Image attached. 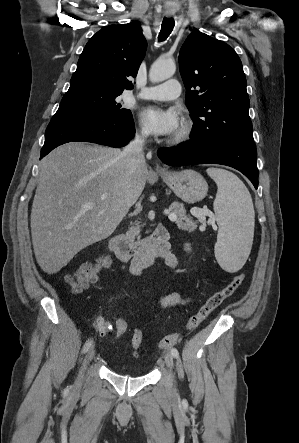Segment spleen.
<instances>
[{
    "label": "spleen",
    "instance_id": "3e777b00",
    "mask_svg": "<svg viewBox=\"0 0 299 443\" xmlns=\"http://www.w3.org/2000/svg\"><path fill=\"white\" fill-rule=\"evenodd\" d=\"M207 173L218 187L214 201L219 225L215 257L225 271L237 272L251 250L255 223L252 198L235 174L219 168H208Z\"/></svg>",
    "mask_w": 299,
    "mask_h": 443
}]
</instances>
